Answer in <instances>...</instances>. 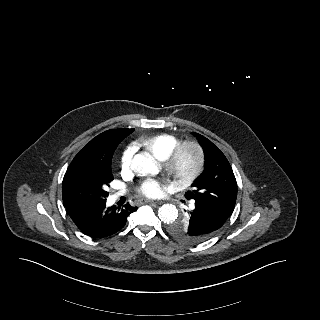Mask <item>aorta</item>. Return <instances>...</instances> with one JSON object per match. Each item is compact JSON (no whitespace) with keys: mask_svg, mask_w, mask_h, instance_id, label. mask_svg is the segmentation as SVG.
Wrapping results in <instances>:
<instances>
[{"mask_svg":"<svg viewBox=\"0 0 320 320\" xmlns=\"http://www.w3.org/2000/svg\"><path fill=\"white\" fill-rule=\"evenodd\" d=\"M131 166L133 171L141 176L158 173V166L155 161L143 154H136ZM158 216L163 223L170 224L177 219L178 210L172 204H165L159 208Z\"/></svg>","mask_w":320,"mask_h":320,"instance_id":"1","label":"aorta"}]
</instances>
